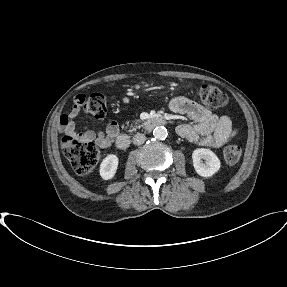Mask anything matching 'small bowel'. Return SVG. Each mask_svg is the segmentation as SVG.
I'll return each mask as SVG.
<instances>
[{
	"mask_svg": "<svg viewBox=\"0 0 287 287\" xmlns=\"http://www.w3.org/2000/svg\"><path fill=\"white\" fill-rule=\"evenodd\" d=\"M169 108L175 113L185 114L192 119L193 124L179 125L177 133L193 144L217 149L224 146L236 135V130L228 115H215L186 97L171 99ZM79 112L80 106L75 100L72 109L60 116L59 125L63 132L77 133L75 119ZM119 132L117 122L110 119L105 123L104 132L86 129L80 135L86 140L94 141L101 148H107L114 142Z\"/></svg>",
	"mask_w": 287,
	"mask_h": 287,
	"instance_id": "small-bowel-1",
	"label": "small bowel"
}]
</instances>
